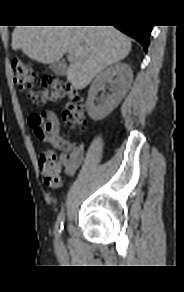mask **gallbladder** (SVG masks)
Returning <instances> with one entry per match:
<instances>
[{
	"mask_svg": "<svg viewBox=\"0 0 184 292\" xmlns=\"http://www.w3.org/2000/svg\"><path fill=\"white\" fill-rule=\"evenodd\" d=\"M50 69L54 74L63 76L66 74L67 66L62 62H54L50 64Z\"/></svg>",
	"mask_w": 184,
	"mask_h": 292,
	"instance_id": "1",
	"label": "gallbladder"
}]
</instances>
